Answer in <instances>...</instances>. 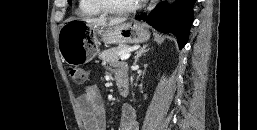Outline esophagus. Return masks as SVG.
<instances>
[{"label": "esophagus", "mask_w": 257, "mask_h": 130, "mask_svg": "<svg viewBox=\"0 0 257 130\" xmlns=\"http://www.w3.org/2000/svg\"><path fill=\"white\" fill-rule=\"evenodd\" d=\"M158 0H151L148 8H147V11H151L155 8L156 4H157Z\"/></svg>", "instance_id": "obj_1"}]
</instances>
